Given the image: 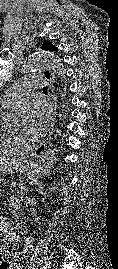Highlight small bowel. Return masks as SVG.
Returning a JSON list of instances; mask_svg holds the SVG:
<instances>
[{
  "label": "small bowel",
  "instance_id": "c3829d8e",
  "mask_svg": "<svg viewBox=\"0 0 118 269\" xmlns=\"http://www.w3.org/2000/svg\"><path fill=\"white\" fill-rule=\"evenodd\" d=\"M0 231H1L0 243L2 246L10 247V246H17L19 244V237L14 232H12L6 220H2L0 222ZM15 264L16 263H11V265Z\"/></svg>",
  "mask_w": 118,
  "mask_h": 269
}]
</instances>
